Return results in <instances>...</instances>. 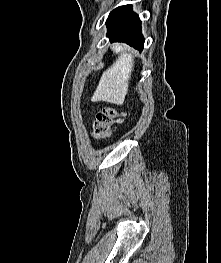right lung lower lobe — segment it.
Segmentation results:
<instances>
[{
	"instance_id": "obj_1",
	"label": "right lung lower lobe",
	"mask_w": 221,
	"mask_h": 263,
	"mask_svg": "<svg viewBox=\"0 0 221 263\" xmlns=\"http://www.w3.org/2000/svg\"><path fill=\"white\" fill-rule=\"evenodd\" d=\"M107 36L111 41L125 42L130 46L142 50L144 38L141 33V21L132 11L131 5H124L114 9L107 21Z\"/></svg>"
}]
</instances>
